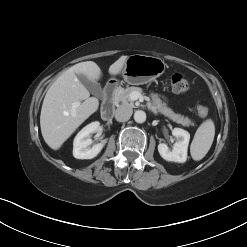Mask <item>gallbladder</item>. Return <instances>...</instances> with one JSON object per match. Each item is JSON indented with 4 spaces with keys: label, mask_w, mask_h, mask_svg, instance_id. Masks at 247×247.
Listing matches in <instances>:
<instances>
[{
    "label": "gallbladder",
    "mask_w": 247,
    "mask_h": 247,
    "mask_svg": "<svg viewBox=\"0 0 247 247\" xmlns=\"http://www.w3.org/2000/svg\"><path fill=\"white\" fill-rule=\"evenodd\" d=\"M80 82L95 96H100L102 94V88L97 82L90 81L84 75H77Z\"/></svg>",
    "instance_id": "1"
}]
</instances>
